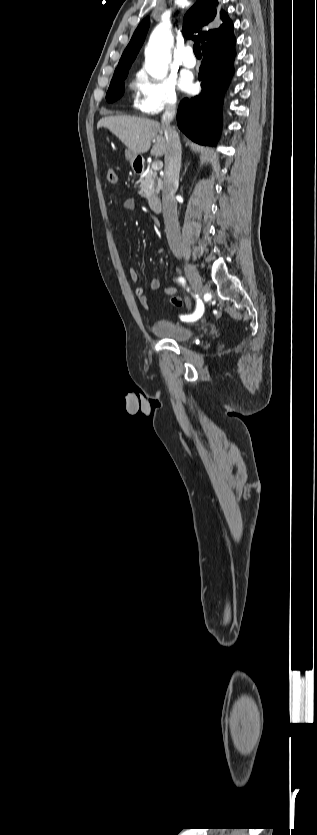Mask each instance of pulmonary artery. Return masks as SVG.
I'll use <instances>...</instances> for the list:
<instances>
[{"mask_svg": "<svg viewBox=\"0 0 317 835\" xmlns=\"http://www.w3.org/2000/svg\"><path fill=\"white\" fill-rule=\"evenodd\" d=\"M181 63L186 68H193L196 65V59L193 55V48L191 46L187 45L183 48Z\"/></svg>", "mask_w": 317, "mask_h": 835, "instance_id": "e3ab8cb5", "label": "pulmonary artery"}]
</instances>
